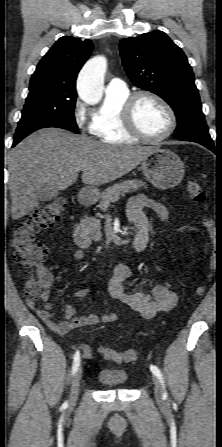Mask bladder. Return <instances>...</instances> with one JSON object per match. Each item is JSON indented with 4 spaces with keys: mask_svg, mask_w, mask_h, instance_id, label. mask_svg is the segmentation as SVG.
Segmentation results:
<instances>
[{
    "mask_svg": "<svg viewBox=\"0 0 222 447\" xmlns=\"http://www.w3.org/2000/svg\"><path fill=\"white\" fill-rule=\"evenodd\" d=\"M97 381L106 388H115L125 385L128 376L124 370L103 369L98 372Z\"/></svg>",
    "mask_w": 222,
    "mask_h": 447,
    "instance_id": "bladder-1",
    "label": "bladder"
}]
</instances>
